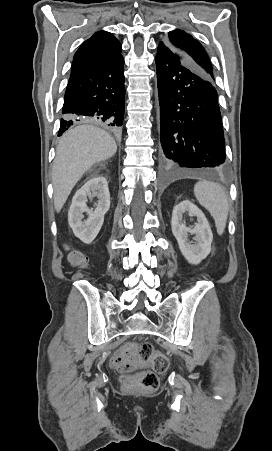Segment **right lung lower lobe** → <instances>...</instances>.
Instances as JSON below:
<instances>
[{
	"label": "right lung lower lobe",
	"instance_id": "right-lung-lower-lobe-1",
	"mask_svg": "<svg viewBox=\"0 0 272 451\" xmlns=\"http://www.w3.org/2000/svg\"><path fill=\"white\" fill-rule=\"evenodd\" d=\"M124 59L121 54L72 70L66 88L60 129L62 135L78 122H95L114 133L123 125Z\"/></svg>",
	"mask_w": 272,
	"mask_h": 451
}]
</instances>
